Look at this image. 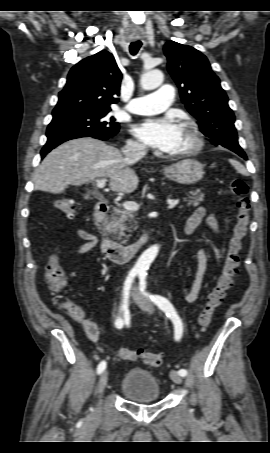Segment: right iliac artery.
<instances>
[{"mask_svg":"<svg viewBox=\"0 0 270 453\" xmlns=\"http://www.w3.org/2000/svg\"><path fill=\"white\" fill-rule=\"evenodd\" d=\"M136 274H137L136 272H131L125 281L124 290H123L124 299H123V304L121 307V310L125 313H128L129 290L131 288V285L133 283V280H134ZM123 325H124V323H123L122 318L118 317L115 321L116 328L121 329L123 327ZM105 368H106V362L105 361L100 362L97 367V373L98 374L102 373L105 370Z\"/></svg>","mask_w":270,"mask_h":453,"instance_id":"1","label":"right iliac artery"}]
</instances>
